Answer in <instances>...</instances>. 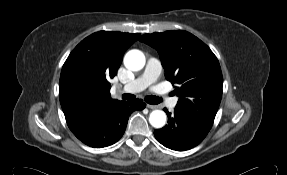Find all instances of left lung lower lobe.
<instances>
[{
	"label": "left lung lower lobe",
	"instance_id": "0a47b994",
	"mask_svg": "<svg viewBox=\"0 0 287 175\" xmlns=\"http://www.w3.org/2000/svg\"><path fill=\"white\" fill-rule=\"evenodd\" d=\"M164 111L168 115V124L162 129L155 130L154 135L158 142L169 149L189 150L197 146L209 132L200 128L180 111L174 110L173 114L166 108Z\"/></svg>",
	"mask_w": 287,
	"mask_h": 175
}]
</instances>
